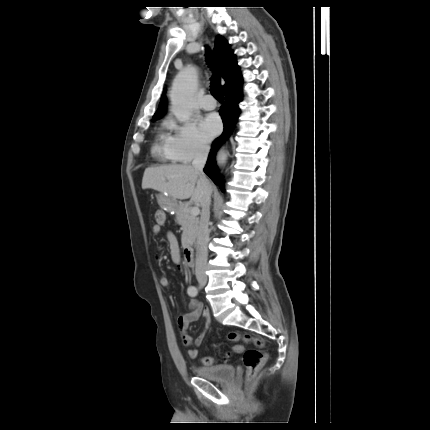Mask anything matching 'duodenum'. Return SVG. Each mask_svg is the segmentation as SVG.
<instances>
[{
	"instance_id": "1",
	"label": "duodenum",
	"mask_w": 430,
	"mask_h": 430,
	"mask_svg": "<svg viewBox=\"0 0 430 430\" xmlns=\"http://www.w3.org/2000/svg\"><path fill=\"white\" fill-rule=\"evenodd\" d=\"M183 258L185 263L189 266L192 267L194 265V249L192 246L187 245L184 247L183 249Z\"/></svg>"
}]
</instances>
